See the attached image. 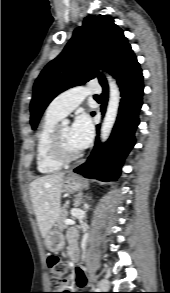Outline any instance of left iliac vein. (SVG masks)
Wrapping results in <instances>:
<instances>
[{"mask_svg":"<svg viewBox=\"0 0 170 293\" xmlns=\"http://www.w3.org/2000/svg\"><path fill=\"white\" fill-rule=\"evenodd\" d=\"M100 286L103 288V290H108L110 287V283L108 280H102L100 282Z\"/></svg>","mask_w":170,"mask_h":293,"instance_id":"4c4485c4","label":"left iliac vein"}]
</instances>
